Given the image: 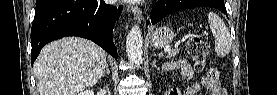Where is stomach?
<instances>
[{"mask_svg": "<svg viewBox=\"0 0 277 95\" xmlns=\"http://www.w3.org/2000/svg\"><path fill=\"white\" fill-rule=\"evenodd\" d=\"M175 37L173 30L167 26H161L149 34L151 46L162 48L170 44Z\"/></svg>", "mask_w": 277, "mask_h": 95, "instance_id": "obj_1", "label": "stomach"}]
</instances>
